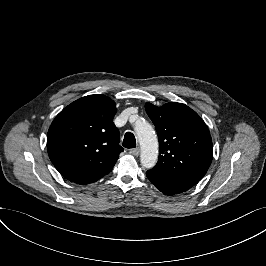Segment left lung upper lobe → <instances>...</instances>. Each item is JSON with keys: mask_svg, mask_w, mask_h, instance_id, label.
<instances>
[{"mask_svg": "<svg viewBox=\"0 0 266 266\" xmlns=\"http://www.w3.org/2000/svg\"><path fill=\"white\" fill-rule=\"evenodd\" d=\"M145 110L159 139V160L151 171L194 186L212 162L213 146L208 127L185 104L175 102L157 107L147 102Z\"/></svg>", "mask_w": 266, "mask_h": 266, "instance_id": "1", "label": "left lung upper lobe"}]
</instances>
